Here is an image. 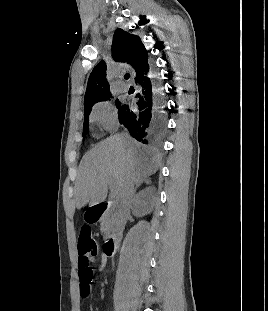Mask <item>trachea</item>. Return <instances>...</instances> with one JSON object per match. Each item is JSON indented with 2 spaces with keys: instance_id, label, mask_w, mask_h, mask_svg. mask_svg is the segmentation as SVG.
<instances>
[{
  "instance_id": "3493384b",
  "label": "trachea",
  "mask_w": 268,
  "mask_h": 311,
  "mask_svg": "<svg viewBox=\"0 0 268 311\" xmlns=\"http://www.w3.org/2000/svg\"><path fill=\"white\" fill-rule=\"evenodd\" d=\"M129 77H130L129 73H126V74L124 75V78H125V79H129Z\"/></svg>"
}]
</instances>
